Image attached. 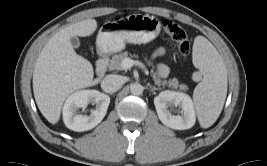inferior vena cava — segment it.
Returning <instances> with one entry per match:
<instances>
[{"label": "inferior vena cava", "mask_w": 267, "mask_h": 166, "mask_svg": "<svg viewBox=\"0 0 267 166\" xmlns=\"http://www.w3.org/2000/svg\"><path fill=\"white\" fill-rule=\"evenodd\" d=\"M124 84V77L120 75H107L101 82V88L104 92L113 94Z\"/></svg>", "instance_id": "obj_1"}]
</instances>
